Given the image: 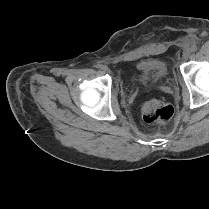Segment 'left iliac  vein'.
<instances>
[{
    "instance_id": "4c4485c4",
    "label": "left iliac vein",
    "mask_w": 209,
    "mask_h": 209,
    "mask_svg": "<svg viewBox=\"0 0 209 209\" xmlns=\"http://www.w3.org/2000/svg\"><path fill=\"white\" fill-rule=\"evenodd\" d=\"M190 54H191L190 50H185L182 56L183 60H187L190 57Z\"/></svg>"
}]
</instances>
